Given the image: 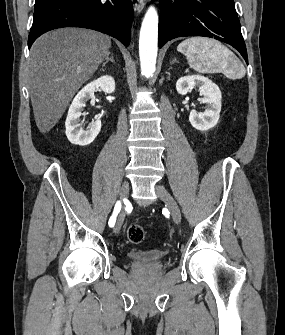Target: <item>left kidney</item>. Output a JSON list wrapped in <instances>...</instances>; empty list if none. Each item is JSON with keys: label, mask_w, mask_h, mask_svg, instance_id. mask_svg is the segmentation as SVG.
<instances>
[{"label": "left kidney", "mask_w": 285, "mask_h": 335, "mask_svg": "<svg viewBox=\"0 0 285 335\" xmlns=\"http://www.w3.org/2000/svg\"><path fill=\"white\" fill-rule=\"evenodd\" d=\"M194 88H199L198 92L204 96L200 98L201 104H207V106L205 112H199V114L196 110H191L189 122L196 130L206 132L214 128L220 118L221 92L216 84L204 76H183L176 82V90L182 96H186Z\"/></svg>", "instance_id": "left-kidney-1"}]
</instances>
